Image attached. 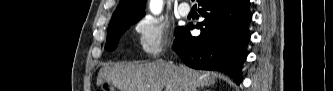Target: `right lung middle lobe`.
Here are the masks:
<instances>
[{"label": "right lung middle lobe", "instance_id": "obj_1", "mask_svg": "<svg viewBox=\"0 0 333 91\" xmlns=\"http://www.w3.org/2000/svg\"><path fill=\"white\" fill-rule=\"evenodd\" d=\"M142 16L126 18L119 21L110 22L108 26L107 32V40L105 49L108 51H112L116 48L118 41L122 34L133 24L138 22ZM182 30V27L176 29L175 34H178Z\"/></svg>", "mask_w": 333, "mask_h": 91}]
</instances>
